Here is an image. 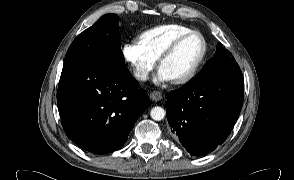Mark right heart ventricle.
Segmentation results:
<instances>
[{
  "mask_svg": "<svg viewBox=\"0 0 294 180\" xmlns=\"http://www.w3.org/2000/svg\"><path fill=\"white\" fill-rule=\"evenodd\" d=\"M191 30L183 24H163L141 31L138 34V40L151 56L159 59L177 37Z\"/></svg>",
  "mask_w": 294,
  "mask_h": 180,
  "instance_id": "1",
  "label": "right heart ventricle"
}]
</instances>
